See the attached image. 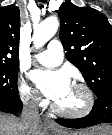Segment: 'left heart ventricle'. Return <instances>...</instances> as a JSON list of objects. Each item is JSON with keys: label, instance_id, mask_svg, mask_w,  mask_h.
Instances as JSON below:
<instances>
[{"label": "left heart ventricle", "instance_id": "b2bd125f", "mask_svg": "<svg viewBox=\"0 0 112 135\" xmlns=\"http://www.w3.org/2000/svg\"><path fill=\"white\" fill-rule=\"evenodd\" d=\"M56 104L64 110H80L85 105L84 92L71 84L64 95L56 101Z\"/></svg>", "mask_w": 112, "mask_h": 135}]
</instances>
